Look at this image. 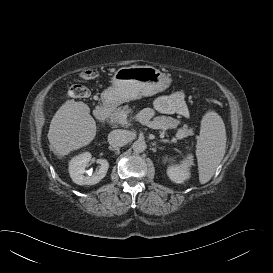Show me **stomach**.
I'll use <instances>...</instances> for the list:
<instances>
[{
    "mask_svg": "<svg viewBox=\"0 0 273 273\" xmlns=\"http://www.w3.org/2000/svg\"><path fill=\"white\" fill-rule=\"evenodd\" d=\"M168 74L152 66H131L118 69L112 77V86L104 90L101 100L106 108L125 102L153 96L170 86Z\"/></svg>",
    "mask_w": 273,
    "mask_h": 273,
    "instance_id": "obj_1",
    "label": "stomach"
}]
</instances>
